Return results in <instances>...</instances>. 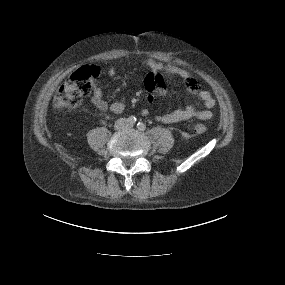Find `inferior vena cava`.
Wrapping results in <instances>:
<instances>
[{
    "label": "inferior vena cava",
    "mask_w": 285,
    "mask_h": 285,
    "mask_svg": "<svg viewBox=\"0 0 285 285\" xmlns=\"http://www.w3.org/2000/svg\"><path fill=\"white\" fill-rule=\"evenodd\" d=\"M129 126L127 119L120 118L115 122V129H127Z\"/></svg>",
    "instance_id": "inferior-vena-cava-1"
}]
</instances>
